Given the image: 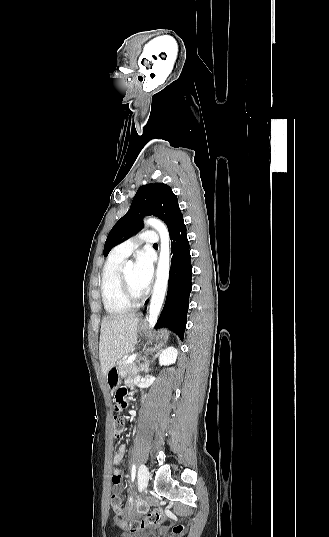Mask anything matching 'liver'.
I'll return each mask as SVG.
<instances>
[{
  "instance_id": "liver-1",
  "label": "liver",
  "mask_w": 329,
  "mask_h": 537,
  "mask_svg": "<svg viewBox=\"0 0 329 537\" xmlns=\"http://www.w3.org/2000/svg\"><path fill=\"white\" fill-rule=\"evenodd\" d=\"M139 318L134 314L112 315L102 320L99 359L103 375H107L137 342Z\"/></svg>"
}]
</instances>
